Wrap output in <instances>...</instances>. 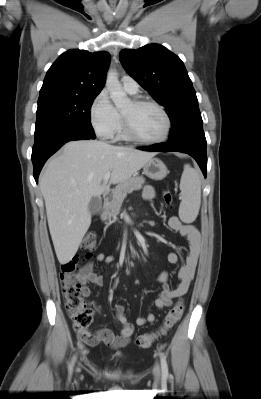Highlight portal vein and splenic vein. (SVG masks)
<instances>
[{
  "label": "portal vein and splenic vein",
  "mask_w": 261,
  "mask_h": 399,
  "mask_svg": "<svg viewBox=\"0 0 261 399\" xmlns=\"http://www.w3.org/2000/svg\"><path fill=\"white\" fill-rule=\"evenodd\" d=\"M109 178H110V172L105 173V174H104V177H103L104 183H107L108 180H109Z\"/></svg>",
  "instance_id": "18ae733b"
}]
</instances>
